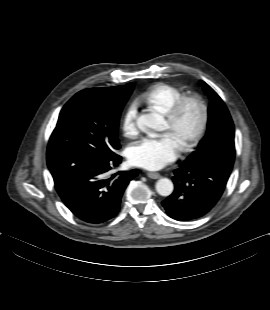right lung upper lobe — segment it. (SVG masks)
<instances>
[{
    "mask_svg": "<svg viewBox=\"0 0 270 310\" xmlns=\"http://www.w3.org/2000/svg\"><path fill=\"white\" fill-rule=\"evenodd\" d=\"M133 82L129 83L127 85H122V86H115V87H109L105 88L107 91L120 96V97H126L129 95L131 88H132Z\"/></svg>",
    "mask_w": 270,
    "mask_h": 310,
    "instance_id": "cb5924a9",
    "label": "right lung upper lobe"
}]
</instances>
